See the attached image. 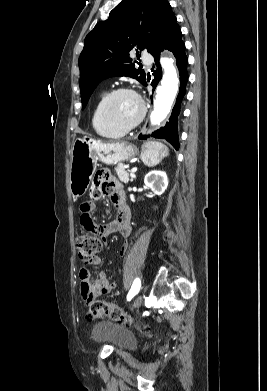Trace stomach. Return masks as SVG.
I'll use <instances>...</instances> for the list:
<instances>
[{
  "instance_id": "stomach-1",
  "label": "stomach",
  "mask_w": 267,
  "mask_h": 391,
  "mask_svg": "<svg viewBox=\"0 0 267 391\" xmlns=\"http://www.w3.org/2000/svg\"><path fill=\"white\" fill-rule=\"evenodd\" d=\"M137 154L138 149L129 143H104L88 137L76 139L71 152L72 197L77 199L85 194L98 161L113 165L130 160Z\"/></svg>"
}]
</instances>
